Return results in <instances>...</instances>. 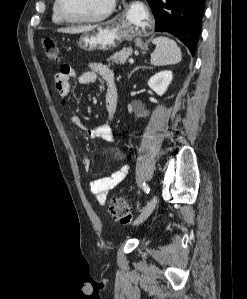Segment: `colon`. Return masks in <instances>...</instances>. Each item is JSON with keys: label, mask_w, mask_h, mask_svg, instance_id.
Listing matches in <instances>:
<instances>
[{"label": "colon", "mask_w": 247, "mask_h": 299, "mask_svg": "<svg viewBox=\"0 0 247 299\" xmlns=\"http://www.w3.org/2000/svg\"><path fill=\"white\" fill-rule=\"evenodd\" d=\"M44 51L48 61L57 62L59 60V50L54 40L45 39ZM108 210L111 218L120 224H129L133 219L131 204L123 198L111 199Z\"/></svg>", "instance_id": "colon-1"}]
</instances>
